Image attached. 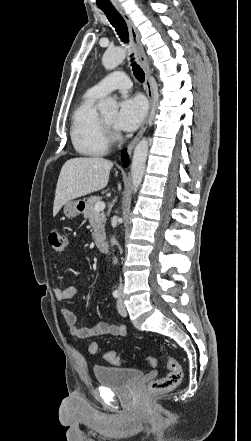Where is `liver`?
Wrapping results in <instances>:
<instances>
[{"mask_svg": "<svg viewBox=\"0 0 251 441\" xmlns=\"http://www.w3.org/2000/svg\"><path fill=\"white\" fill-rule=\"evenodd\" d=\"M112 167L111 161L101 157H76L67 160L59 174L53 216L57 215L66 202L105 188ZM118 187L120 190V184Z\"/></svg>", "mask_w": 251, "mask_h": 441, "instance_id": "6515ba94", "label": "liver"}]
</instances>
